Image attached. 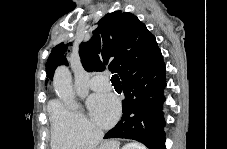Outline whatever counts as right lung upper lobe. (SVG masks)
I'll use <instances>...</instances> for the list:
<instances>
[{
	"mask_svg": "<svg viewBox=\"0 0 227 149\" xmlns=\"http://www.w3.org/2000/svg\"><path fill=\"white\" fill-rule=\"evenodd\" d=\"M98 24L92 39L80 44L79 55L86 71H103L108 66L123 79L162 57L154 35L135 15L115 11L106 14ZM66 51L63 43L52 49L46 65L50 79L58 65L67 64Z\"/></svg>",
	"mask_w": 227,
	"mask_h": 149,
	"instance_id": "right-lung-upper-lobe-1",
	"label": "right lung upper lobe"
}]
</instances>
